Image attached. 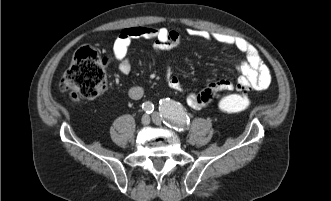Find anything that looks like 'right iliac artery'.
I'll return each instance as SVG.
<instances>
[{
  "label": "right iliac artery",
  "mask_w": 331,
  "mask_h": 201,
  "mask_svg": "<svg viewBox=\"0 0 331 201\" xmlns=\"http://www.w3.org/2000/svg\"><path fill=\"white\" fill-rule=\"evenodd\" d=\"M142 108L148 114H150V113H152L154 111V105L151 102H149V101L143 103L142 104Z\"/></svg>",
  "instance_id": "1"
}]
</instances>
